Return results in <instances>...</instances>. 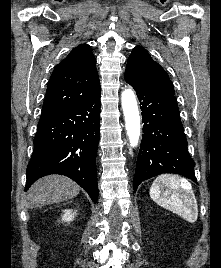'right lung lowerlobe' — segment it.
I'll use <instances>...</instances> for the list:
<instances>
[{"label": "right lung lower lobe", "instance_id": "98d812e1", "mask_svg": "<svg viewBox=\"0 0 221 268\" xmlns=\"http://www.w3.org/2000/svg\"><path fill=\"white\" fill-rule=\"evenodd\" d=\"M100 93L60 109L42 111L27 166V190L37 179L61 174L97 202L96 154L100 137Z\"/></svg>", "mask_w": 221, "mask_h": 268}]
</instances>
